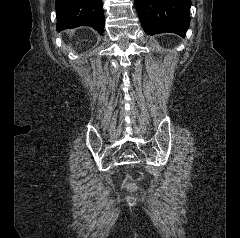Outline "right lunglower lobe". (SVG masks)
<instances>
[{
  "label": "right lung lower lobe",
  "mask_w": 240,
  "mask_h": 238,
  "mask_svg": "<svg viewBox=\"0 0 240 238\" xmlns=\"http://www.w3.org/2000/svg\"><path fill=\"white\" fill-rule=\"evenodd\" d=\"M57 30L78 26L104 31V12L101 0H55Z\"/></svg>",
  "instance_id": "1"
}]
</instances>
